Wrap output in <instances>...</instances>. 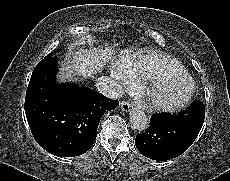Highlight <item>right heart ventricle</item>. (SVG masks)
<instances>
[{
    "label": "right heart ventricle",
    "mask_w": 230,
    "mask_h": 181,
    "mask_svg": "<svg viewBox=\"0 0 230 181\" xmlns=\"http://www.w3.org/2000/svg\"><path fill=\"white\" fill-rule=\"evenodd\" d=\"M115 68L124 71L129 79L149 80L160 73L184 70L175 59L157 51H137L119 57Z\"/></svg>",
    "instance_id": "obj_1"
}]
</instances>
